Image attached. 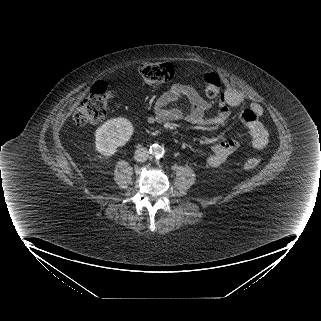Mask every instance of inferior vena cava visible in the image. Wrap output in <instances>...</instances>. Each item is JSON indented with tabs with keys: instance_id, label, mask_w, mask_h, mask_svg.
<instances>
[{
	"instance_id": "1",
	"label": "inferior vena cava",
	"mask_w": 321,
	"mask_h": 321,
	"mask_svg": "<svg viewBox=\"0 0 321 321\" xmlns=\"http://www.w3.org/2000/svg\"><path fill=\"white\" fill-rule=\"evenodd\" d=\"M149 157V151L147 148H138L135 151L134 158L138 162H145Z\"/></svg>"
}]
</instances>
